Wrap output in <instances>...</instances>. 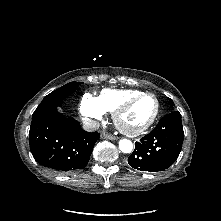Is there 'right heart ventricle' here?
<instances>
[{
    "label": "right heart ventricle",
    "mask_w": 221,
    "mask_h": 221,
    "mask_svg": "<svg viewBox=\"0 0 221 221\" xmlns=\"http://www.w3.org/2000/svg\"><path fill=\"white\" fill-rule=\"evenodd\" d=\"M141 92L136 89H104L96 99L104 112H113L124 100Z\"/></svg>",
    "instance_id": "right-heart-ventricle-1"
}]
</instances>
